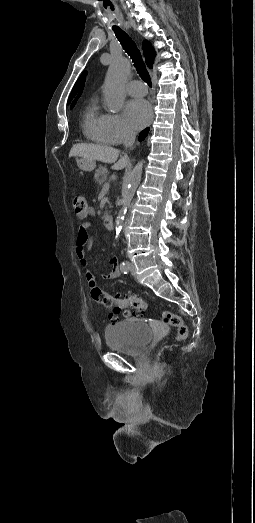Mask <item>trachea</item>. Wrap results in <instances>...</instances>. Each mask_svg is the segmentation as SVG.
Here are the masks:
<instances>
[{"label": "trachea", "instance_id": "1", "mask_svg": "<svg viewBox=\"0 0 255 523\" xmlns=\"http://www.w3.org/2000/svg\"><path fill=\"white\" fill-rule=\"evenodd\" d=\"M113 31H114V33L116 35V38L121 43V45H122L123 49L125 50V52L133 60L134 66H135L137 72L139 73L140 77L142 78V80H144V82H146L147 85H149V87H152V82H151L150 75L148 73V70H147L144 62H143L141 52L137 48L136 43L121 28L113 27Z\"/></svg>", "mask_w": 255, "mask_h": 523}]
</instances>
